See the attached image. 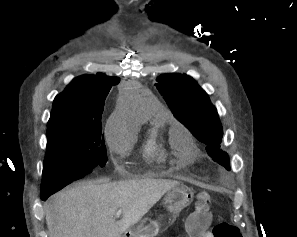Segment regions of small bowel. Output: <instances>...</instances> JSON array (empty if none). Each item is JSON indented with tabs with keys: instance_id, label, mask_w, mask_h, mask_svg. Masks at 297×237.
Listing matches in <instances>:
<instances>
[{
	"instance_id": "c3829d8e",
	"label": "small bowel",
	"mask_w": 297,
	"mask_h": 237,
	"mask_svg": "<svg viewBox=\"0 0 297 237\" xmlns=\"http://www.w3.org/2000/svg\"><path fill=\"white\" fill-rule=\"evenodd\" d=\"M202 237H213L211 233L205 232Z\"/></svg>"
}]
</instances>
